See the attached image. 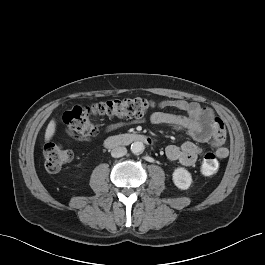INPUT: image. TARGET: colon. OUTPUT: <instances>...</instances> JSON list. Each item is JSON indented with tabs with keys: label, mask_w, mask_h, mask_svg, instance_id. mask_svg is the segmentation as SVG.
Returning a JSON list of instances; mask_svg holds the SVG:
<instances>
[{
	"label": "colon",
	"mask_w": 265,
	"mask_h": 265,
	"mask_svg": "<svg viewBox=\"0 0 265 265\" xmlns=\"http://www.w3.org/2000/svg\"><path fill=\"white\" fill-rule=\"evenodd\" d=\"M154 102L144 98H125L99 102L90 106H74L63 115V122L69 136L84 140L97 134L98 128L92 115H105L112 118H140L149 113ZM45 166L49 172H58L72 159V152L63 147L48 143L44 148ZM219 170V160L214 153H207L201 160V172L210 176Z\"/></svg>",
	"instance_id": "obj_1"
}]
</instances>
